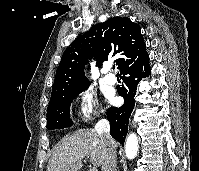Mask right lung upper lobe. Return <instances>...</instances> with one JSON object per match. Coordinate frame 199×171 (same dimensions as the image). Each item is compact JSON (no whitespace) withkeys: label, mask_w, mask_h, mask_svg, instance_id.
Segmentation results:
<instances>
[{"label":"right lung upper lobe","mask_w":199,"mask_h":171,"mask_svg":"<svg viewBox=\"0 0 199 171\" xmlns=\"http://www.w3.org/2000/svg\"><path fill=\"white\" fill-rule=\"evenodd\" d=\"M146 55L141 28L129 18L115 17L96 24L64 51L49 105L72 96L90 84L84 74L89 56H94L100 65L109 57L117 56L115 62L122 70Z\"/></svg>","instance_id":"1"}]
</instances>
